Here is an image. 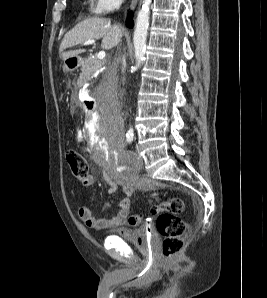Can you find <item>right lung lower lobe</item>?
<instances>
[{
  "mask_svg": "<svg viewBox=\"0 0 267 298\" xmlns=\"http://www.w3.org/2000/svg\"><path fill=\"white\" fill-rule=\"evenodd\" d=\"M131 18H132V13L129 12L128 13V20H127V27H129V28L133 27V20Z\"/></svg>",
  "mask_w": 267,
  "mask_h": 298,
  "instance_id": "1",
  "label": "right lung lower lobe"
}]
</instances>
